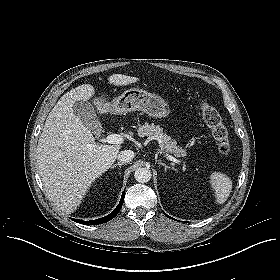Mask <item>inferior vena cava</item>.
Instances as JSON below:
<instances>
[{
  "label": "inferior vena cava",
  "mask_w": 280,
  "mask_h": 280,
  "mask_svg": "<svg viewBox=\"0 0 280 280\" xmlns=\"http://www.w3.org/2000/svg\"><path fill=\"white\" fill-rule=\"evenodd\" d=\"M117 158L122 163H128L134 158V152L132 150H123L120 151L117 155Z\"/></svg>",
  "instance_id": "1"
}]
</instances>
